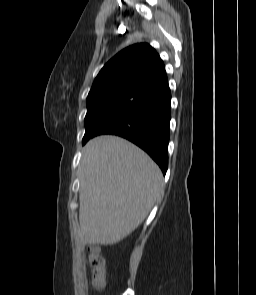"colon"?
<instances>
[{
	"label": "colon",
	"instance_id": "1",
	"mask_svg": "<svg viewBox=\"0 0 256 295\" xmlns=\"http://www.w3.org/2000/svg\"><path fill=\"white\" fill-rule=\"evenodd\" d=\"M88 266L92 275V285L96 291H101L105 284L104 260L97 247H91L88 254Z\"/></svg>",
	"mask_w": 256,
	"mask_h": 295
}]
</instances>
